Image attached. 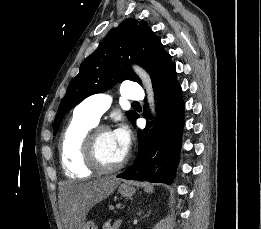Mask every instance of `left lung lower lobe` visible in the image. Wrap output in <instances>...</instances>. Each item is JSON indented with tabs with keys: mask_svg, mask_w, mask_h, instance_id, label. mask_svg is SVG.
Returning a JSON list of instances; mask_svg holds the SVG:
<instances>
[{
	"mask_svg": "<svg viewBox=\"0 0 261 229\" xmlns=\"http://www.w3.org/2000/svg\"><path fill=\"white\" fill-rule=\"evenodd\" d=\"M153 88L157 101V127L138 132V155L134 163L117 177L171 184V180L176 176L184 125V102L181 87L177 82L175 65L158 75L153 81ZM143 115L148 118L145 111ZM137 117L138 115L135 116V120ZM150 123L153 124L152 121ZM150 152H157L153 163L149 159Z\"/></svg>",
	"mask_w": 261,
	"mask_h": 229,
	"instance_id": "0a47b994",
	"label": "left lung lower lobe"
}]
</instances>
